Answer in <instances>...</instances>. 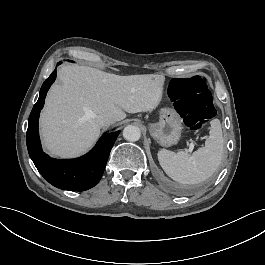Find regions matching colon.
<instances>
[{
	"mask_svg": "<svg viewBox=\"0 0 265 265\" xmlns=\"http://www.w3.org/2000/svg\"><path fill=\"white\" fill-rule=\"evenodd\" d=\"M168 85L167 96L178 101L177 109L192 131L201 130L216 116L211 82L207 76L178 77L170 80Z\"/></svg>",
	"mask_w": 265,
	"mask_h": 265,
	"instance_id": "obj_1",
	"label": "colon"
}]
</instances>
